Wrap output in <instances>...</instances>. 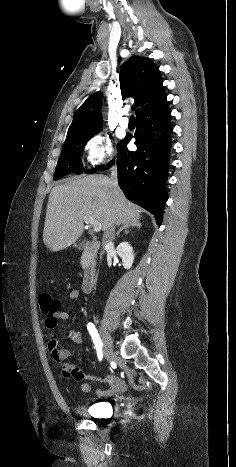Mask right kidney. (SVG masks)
<instances>
[{
    "mask_svg": "<svg viewBox=\"0 0 236 467\" xmlns=\"http://www.w3.org/2000/svg\"><path fill=\"white\" fill-rule=\"evenodd\" d=\"M116 252L122 259L123 267L130 269L134 261V253L130 244L128 242L120 243L116 248Z\"/></svg>",
    "mask_w": 236,
    "mask_h": 467,
    "instance_id": "obj_1",
    "label": "right kidney"
}]
</instances>
